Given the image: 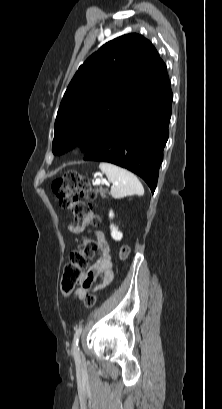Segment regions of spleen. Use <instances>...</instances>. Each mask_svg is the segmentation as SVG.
<instances>
[{
  "instance_id": "3e777b00",
  "label": "spleen",
  "mask_w": 222,
  "mask_h": 409,
  "mask_svg": "<svg viewBox=\"0 0 222 409\" xmlns=\"http://www.w3.org/2000/svg\"><path fill=\"white\" fill-rule=\"evenodd\" d=\"M99 169L104 172L109 180L113 183L111 196L119 199L126 196L144 194V188L138 178L131 172L111 163L101 162Z\"/></svg>"
}]
</instances>
